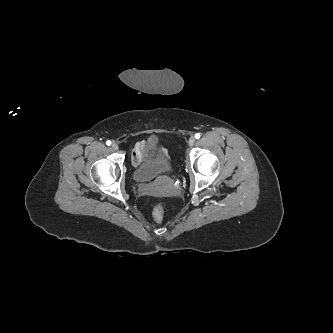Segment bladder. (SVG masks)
Returning a JSON list of instances; mask_svg holds the SVG:
<instances>
[{"instance_id": "bladder-1", "label": "bladder", "mask_w": 333, "mask_h": 333, "mask_svg": "<svg viewBox=\"0 0 333 333\" xmlns=\"http://www.w3.org/2000/svg\"><path fill=\"white\" fill-rule=\"evenodd\" d=\"M147 147L150 154L133 171V178L138 182L152 181L162 173L173 171L172 162L165 154L158 150L154 139L148 142Z\"/></svg>"}]
</instances>
